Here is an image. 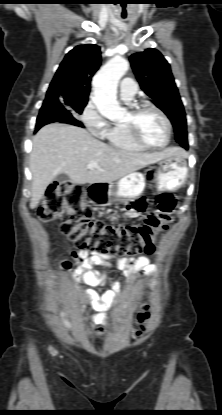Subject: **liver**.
I'll return each mask as SVG.
<instances>
[{"label":"liver","instance_id":"6515ba94","mask_svg":"<svg viewBox=\"0 0 222 415\" xmlns=\"http://www.w3.org/2000/svg\"><path fill=\"white\" fill-rule=\"evenodd\" d=\"M173 155H184V151L180 147L152 153L119 150L83 128L61 123L45 125L34 136L30 154V208L37 207L46 188L59 174H66L76 184L111 183ZM90 162L99 166L87 169Z\"/></svg>","mask_w":222,"mask_h":415}]
</instances>
